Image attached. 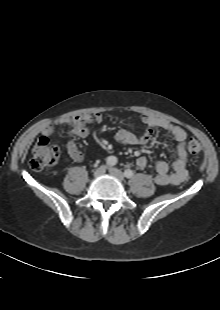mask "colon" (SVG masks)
Returning <instances> with one entry per match:
<instances>
[{
    "label": "colon",
    "mask_w": 220,
    "mask_h": 310,
    "mask_svg": "<svg viewBox=\"0 0 220 310\" xmlns=\"http://www.w3.org/2000/svg\"><path fill=\"white\" fill-rule=\"evenodd\" d=\"M201 144L191 140L187 144V151L191 155L201 152ZM59 148L49 138L41 137L33 147L29 165L34 170H42L55 165L59 159Z\"/></svg>",
    "instance_id": "colon-1"
}]
</instances>
